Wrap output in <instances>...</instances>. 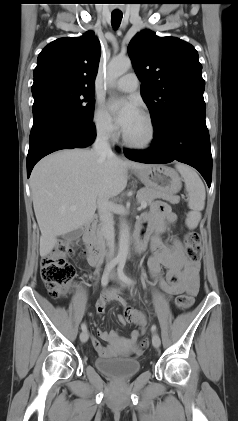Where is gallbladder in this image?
I'll return each mask as SVG.
<instances>
[{"mask_svg":"<svg viewBox=\"0 0 238 421\" xmlns=\"http://www.w3.org/2000/svg\"><path fill=\"white\" fill-rule=\"evenodd\" d=\"M81 233H82L81 229H76V230L68 233L67 235H65V239L67 241H72V240L78 238L81 235Z\"/></svg>","mask_w":238,"mask_h":421,"instance_id":"gallbladder-1","label":"gallbladder"}]
</instances>
